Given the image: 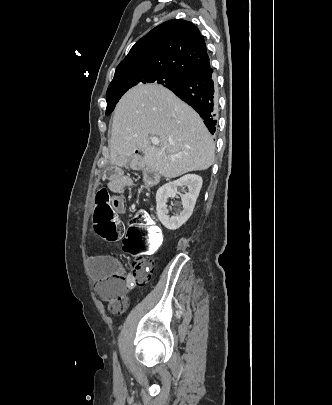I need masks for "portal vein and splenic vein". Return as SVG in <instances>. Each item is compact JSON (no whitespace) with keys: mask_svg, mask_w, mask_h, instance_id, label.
<instances>
[{"mask_svg":"<svg viewBox=\"0 0 332 405\" xmlns=\"http://www.w3.org/2000/svg\"><path fill=\"white\" fill-rule=\"evenodd\" d=\"M151 142L153 145H156V146L159 145V139L157 137H152Z\"/></svg>","mask_w":332,"mask_h":405,"instance_id":"18ae733b","label":"portal vein and splenic vein"}]
</instances>
